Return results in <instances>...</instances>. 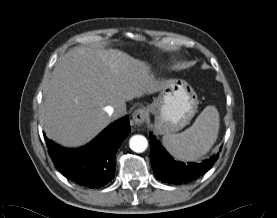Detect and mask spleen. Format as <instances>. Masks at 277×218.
<instances>
[{"label": "spleen", "instance_id": "obj_1", "mask_svg": "<svg viewBox=\"0 0 277 218\" xmlns=\"http://www.w3.org/2000/svg\"><path fill=\"white\" fill-rule=\"evenodd\" d=\"M219 124V112L215 106H207L190 128L178 134L164 135L163 145L176 159L198 160L214 145Z\"/></svg>", "mask_w": 277, "mask_h": 218}]
</instances>
